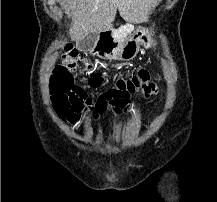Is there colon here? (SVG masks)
Returning a JSON list of instances; mask_svg holds the SVG:
<instances>
[{
  "mask_svg": "<svg viewBox=\"0 0 217 202\" xmlns=\"http://www.w3.org/2000/svg\"><path fill=\"white\" fill-rule=\"evenodd\" d=\"M77 55H82V50L77 47H67L65 55L56 56L60 64L65 67L52 68L49 79L53 80L52 102L60 111L57 117H79L85 107L90 111V117H100L107 111H112L117 117H124L128 114L130 94L138 90L145 95L157 94L159 88L152 83L149 74L145 69H136L132 78L119 79L112 86L100 91H89L79 87V82H73V78H81L77 73ZM78 120H65V125H78Z\"/></svg>",
  "mask_w": 217,
  "mask_h": 202,
  "instance_id": "1",
  "label": "colon"
}]
</instances>
